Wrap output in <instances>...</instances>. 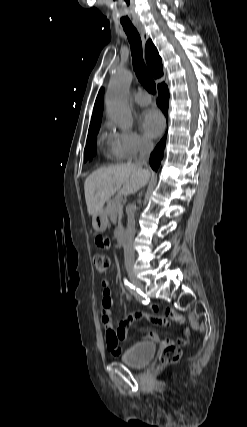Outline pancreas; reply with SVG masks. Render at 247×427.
I'll list each match as a JSON object with an SVG mask.
<instances>
[{
	"instance_id": "pancreas-1",
	"label": "pancreas",
	"mask_w": 247,
	"mask_h": 427,
	"mask_svg": "<svg viewBox=\"0 0 247 427\" xmlns=\"http://www.w3.org/2000/svg\"><path fill=\"white\" fill-rule=\"evenodd\" d=\"M106 214L111 218V220H116L118 216V228H121V219L123 215V204L122 201H116V198L111 199L107 202V206L105 208Z\"/></svg>"
}]
</instances>
